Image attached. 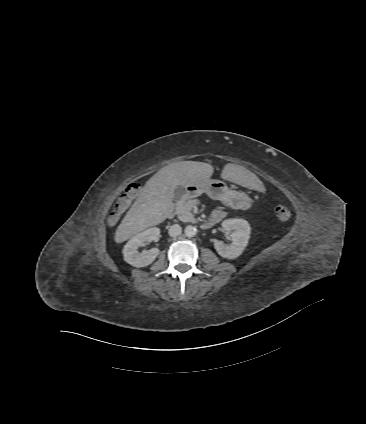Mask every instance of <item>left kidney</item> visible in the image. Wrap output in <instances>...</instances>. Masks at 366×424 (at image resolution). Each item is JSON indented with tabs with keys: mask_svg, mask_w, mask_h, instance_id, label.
I'll list each match as a JSON object with an SVG mask.
<instances>
[{
	"mask_svg": "<svg viewBox=\"0 0 366 424\" xmlns=\"http://www.w3.org/2000/svg\"><path fill=\"white\" fill-rule=\"evenodd\" d=\"M222 227L231 232L232 243L226 246L223 241L215 240L214 248L217 253L227 259H235L242 254L248 244L251 228L243 219H227L222 222Z\"/></svg>",
	"mask_w": 366,
	"mask_h": 424,
	"instance_id": "obj_1",
	"label": "left kidney"
}]
</instances>
